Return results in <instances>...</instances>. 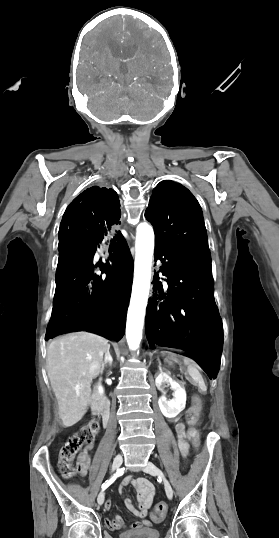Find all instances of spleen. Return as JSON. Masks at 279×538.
I'll list each match as a JSON object with an SVG mask.
<instances>
[{
	"instance_id": "3e777b00",
	"label": "spleen",
	"mask_w": 279,
	"mask_h": 538,
	"mask_svg": "<svg viewBox=\"0 0 279 538\" xmlns=\"http://www.w3.org/2000/svg\"><path fill=\"white\" fill-rule=\"evenodd\" d=\"M167 354H172V352H167ZM185 366H188V372L190 376H193V379L197 381V386L199 388V393L204 394L206 392L204 380L199 375V371L196 370L195 366L191 364L192 360L190 358H183Z\"/></svg>"
}]
</instances>
